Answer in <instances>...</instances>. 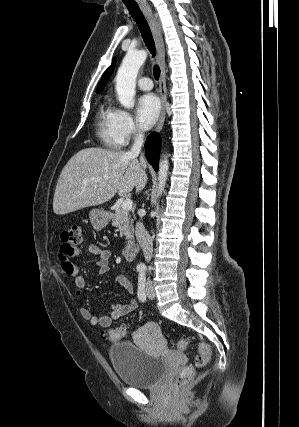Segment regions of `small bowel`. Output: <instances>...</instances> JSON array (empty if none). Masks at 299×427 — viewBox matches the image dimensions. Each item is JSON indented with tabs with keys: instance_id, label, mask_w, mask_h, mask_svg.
Listing matches in <instances>:
<instances>
[{
	"instance_id": "c3829d8e",
	"label": "small bowel",
	"mask_w": 299,
	"mask_h": 427,
	"mask_svg": "<svg viewBox=\"0 0 299 427\" xmlns=\"http://www.w3.org/2000/svg\"><path fill=\"white\" fill-rule=\"evenodd\" d=\"M83 251H86L96 257L95 265L99 274L104 275L109 270V250L96 244H87L85 246H73L70 244L62 245L59 255L60 266L66 275L74 277V283L77 288L78 295H81L86 288V280L80 274L79 267L71 261V258L80 256ZM115 283L129 293L133 290L132 282L125 274H118L115 277ZM137 307V302L132 299L126 303L113 305L109 315L96 316L87 307H80L79 313L80 316L90 324L98 325L101 328H109L114 320H118L126 316L133 312Z\"/></svg>"
}]
</instances>
